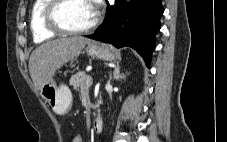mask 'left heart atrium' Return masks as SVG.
Listing matches in <instances>:
<instances>
[{
	"label": "left heart atrium",
	"instance_id": "1",
	"mask_svg": "<svg viewBox=\"0 0 227 142\" xmlns=\"http://www.w3.org/2000/svg\"><path fill=\"white\" fill-rule=\"evenodd\" d=\"M92 9L94 10V13L96 14V9H97V6L99 4V1L100 0H88Z\"/></svg>",
	"mask_w": 227,
	"mask_h": 142
}]
</instances>
